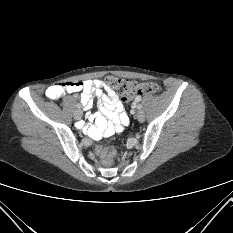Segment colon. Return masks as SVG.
<instances>
[{
	"instance_id": "colon-1",
	"label": "colon",
	"mask_w": 233,
	"mask_h": 233,
	"mask_svg": "<svg viewBox=\"0 0 233 233\" xmlns=\"http://www.w3.org/2000/svg\"><path fill=\"white\" fill-rule=\"evenodd\" d=\"M109 90L120 94L123 101H128L136 95L157 93L161 90L160 86L154 82H135L116 76H107L103 82ZM95 153L100 156L103 164L112 163L115 151L112 148L102 145L94 146Z\"/></svg>"
}]
</instances>
